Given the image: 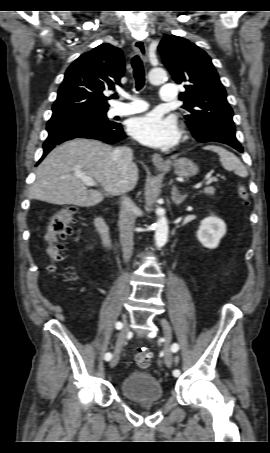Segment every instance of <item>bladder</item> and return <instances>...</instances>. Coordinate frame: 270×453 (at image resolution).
<instances>
[{
	"label": "bladder",
	"instance_id": "obj_1",
	"mask_svg": "<svg viewBox=\"0 0 270 453\" xmlns=\"http://www.w3.org/2000/svg\"><path fill=\"white\" fill-rule=\"evenodd\" d=\"M122 395L133 402L160 401L164 398L161 382L148 372L135 371L120 383Z\"/></svg>",
	"mask_w": 270,
	"mask_h": 453
}]
</instances>
